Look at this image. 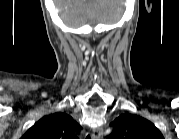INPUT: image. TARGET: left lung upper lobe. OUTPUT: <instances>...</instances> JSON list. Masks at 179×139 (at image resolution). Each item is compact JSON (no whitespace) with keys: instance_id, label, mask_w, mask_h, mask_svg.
Wrapping results in <instances>:
<instances>
[{"instance_id":"left-lung-upper-lobe-1","label":"left lung upper lobe","mask_w":179,"mask_h":139,"mask_svg":"<svg viewBox=\"0 0 179 139\" xmlns=\"http://www.w3.org/2000/svg\"><path fill=\"white\" fill-rule=\"evenodd\" d=\"M110 139H163L153 123L134 114H122L111 124Z\"/></svg>"}]
</instances>
